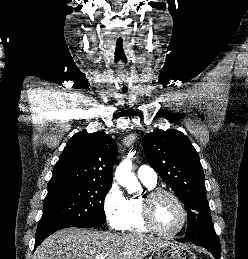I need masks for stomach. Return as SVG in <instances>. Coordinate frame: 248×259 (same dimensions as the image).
<instances>
[{
  "label": "stomach",
  "instance_id": "obj_1",
  "mask_svg": "<svg viewBox=\"0 0 248 259\" xmlns=\"http://www.w3.org/2000/svg\"><path fill=\"white\" fill-rule=\"evenodd\" d=\"M149 259H197V257L186 247L167 243L153 250Z\"/></svg>",
  "mask_w": 248,
  "mask_h": 259
}]
</instances>
